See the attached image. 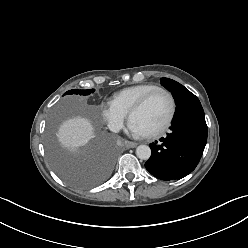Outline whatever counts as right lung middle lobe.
<instances>
[{"instance_id":"obj_1","label":"right lung middle lobe","mask_w":248,"mask_h":248,"mask_svg":"<svg viewBox=\"0 0 248 248\" xmlns=\"http://www.w3.org/2000/svg\"><path fill=\"white\" fill-rule=\"evenodd\" d=\"M93 92L94 89H72L64 95H88ZM47 145L53 168L62 179L74 186L87 188L97 185L107 177L112 168L114 152L105 141L100 140L89 154L73 155L60 147L50 132Z\"/></svg>"}]
</instances>
